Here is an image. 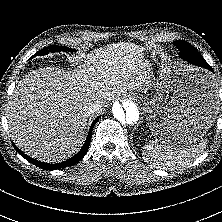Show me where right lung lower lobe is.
<instances>
[{"label":"right lung lower lobe","mask_w":222,"mask_h":222,"mask_svg":"<svg viewBox=\"0 0 222 222\" xmlns=\"http://www.w3.org/2000/svg\"><path fill=\"white\" fill-rule=\"evenodd\" d=\"M32 58V57H31ZM100 117H97L91 124L90 126V129H89V133H88V136L85 140V143L83 144L81 150L76 154L74 155L73 157H71L70 159L64 161V162H61V163H57V164H48V163H44V162H40L36 159H33L29 156H27L26 154H24L18 147H16V145L13 144L15 150L21 155L23 156L26 160H28L29 162H31L32 164L42 168V169H45V170H57V169H63L65 167H68V166H72L74 164H76L77 162H79L87 153L88 149H89V145H90V142H91V136H92V130H93V127L95 125V123L98 121Z\"/></svg>","instance_id":"1"}]
</instances>
